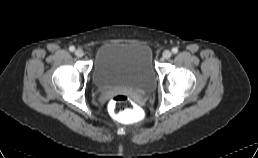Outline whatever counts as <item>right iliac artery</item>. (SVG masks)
I'll return each mask as SVG.
<instances>
[{
    "label": "right iliac artery",
    "mask_w": 258,
    "mask_h": 158,
    "mask_svg": "<svg viewBox=\"0 0 258 158\" xmlns=\"http://www.w3.org/2000/svg\"><path fill=\"white\" fill-rule=\"evenodd\" d=\"M69 50H70L71 52H74V51H75V47H74V46H70V47H69Z\"/></svg>",
    "instance_id": "1"
}]
</instances>
